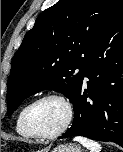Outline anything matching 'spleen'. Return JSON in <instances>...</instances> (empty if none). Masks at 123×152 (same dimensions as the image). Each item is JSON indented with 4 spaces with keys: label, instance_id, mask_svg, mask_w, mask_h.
I'll list each match as a JSON object with an SVG mask.
<instances>
[{
    "label": "spleen",
    "instance_id": "spleen-1",
    "mask_svg": "<svg viewBox=\"0 0 123 152\" xmlns=\"http://www.w3.org/2000/svg\"><path fill=\"white\" fill-rule=\"evenodd\" d=\"M74 141L79 142L81 145L89 149L90 152H100L102 148L97 141L85 137L77 136L74 138Z\"/></svg>",
    "mask_w": 123,
    "mask_h": 152
}]
</instances>
